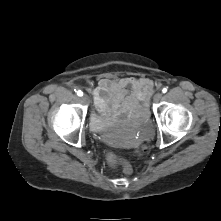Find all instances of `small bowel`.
<instances>
[{
    "label": "small bowel",
    "instance_id": "1",
    "mask_svg": "<svg viewBox=\"0 0 221 221\" xmlns=\"http://www.w3.org/2000/svg\"><path fill=\"white\" fill-rule=\"evenodd\" d=\"M154 84L145 77L101 79L91 90L97 111L102 115L123 113L131 117L147 114L146 100Z\"/></svg>",
    "mask_w": 221,
    "mask_h": 221
}]
</instances>
